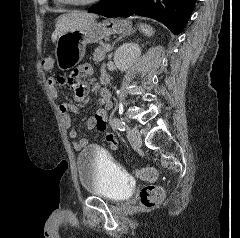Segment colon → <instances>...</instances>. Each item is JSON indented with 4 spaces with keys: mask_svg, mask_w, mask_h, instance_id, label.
Instances as JSON below:
<instances>
[{
    "mask_svg": "<svg viewBox=\"0 0 240 238\" xmlns=\"http://www.w3.org/2000/svg\"><path fill=\"white\" fill-rule=\"evenodd\" d=\"M41 67L44 71L49 72L54 67V58L52 56H44L41 59ZM136 175L146 181H154L157 172L154 168L146 167L138 169ZM165 196V189L158 185H148L144 187L140 194V200L143 207L152 208L158 205Z\"/></svg>",
    "mask_w": 240,
    "mask_h": 238,
    "instance_id": "colon-1",
    "label": "colon"
}]
</instances>
